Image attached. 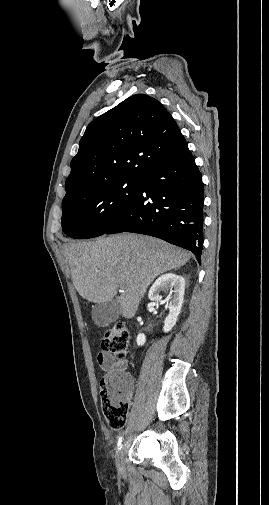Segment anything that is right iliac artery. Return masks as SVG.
Wrapping results in <instances>:
<instances>
[{"label":"right iliac artery","instance_id":"1","mask_svg":"<svg viewBox=\"0 0 269 505\" xmlns=\"http://www.w3.org/2000/svg\"><path fill=\"white\" fill-rule=\"evenodd\" d=\"M122 440H123V437H120L118 440V443H117L118 449H120L122 447Z\"/></svg>","mask_w":269,"mask_h":505}]
</instances>
